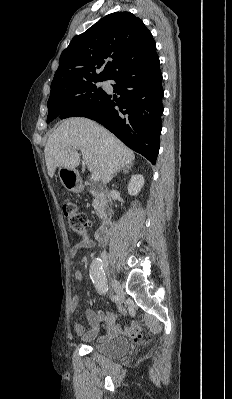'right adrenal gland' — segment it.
<instances>
[{"mask_svg": "<svg viewBox=\"0 0 232 399\" xmlns=\"http://www.w3.org/2000/svg\"><path fill=\"white\" fill-rule=\"evenodd\" d=\"M132 164H128V166H124V168H120V170H116L115 176H117V172H123V174H129V170H131Z\"/></svg>", "mask_w": 232, "mask_h": 399, "instance_id": "obj_1", "label": "right adrenal gland"}]
</instances>
